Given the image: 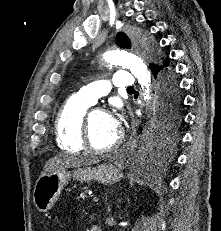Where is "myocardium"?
I'll return each mask as SVG.
<instances>
[{
	"mask_svg": "<svg viewBox=\"0 0 221 231\" xmlns=\"http://www.w3.org/2000/svg\"><path fill=\"white\" fill-rule=\"evenodd\" d=\"M95 112H104L105 113V110L102 108H93V109L86 111V113L82 119V123H81V141H82V144L84 146V149L89 151L92 154L104 155V154L111 153L121 145L122 140H123V135L121 132L118 133L116 140L110 146H108L106 148H96L92 144V141H91V126H90L91 117H92L93 113H95Z\"/></svg>",
	"mask_w": 221,
	"mask_h": 231,
	"instance_id": "obj_1",
	"label": "myocardium"
}]
</instances>
